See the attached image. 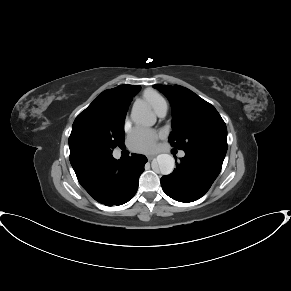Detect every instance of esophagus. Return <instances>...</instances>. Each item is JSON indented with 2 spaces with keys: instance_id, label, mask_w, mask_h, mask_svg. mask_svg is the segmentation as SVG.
<instances>
[{
  "instance_id": "esophagus-1",
  "label": "esophagus",
  "mask_w": 291,
  "mask_h": 291,
  "mask_svg": "<svg viewBox=\"0 0 291 291\" xmlns=\"http://www.w3.org/2000/svg\"><path fill=\"white\" fill-rule=\"evenodd\" d=\"M156 157V154H153V155H148L147 158L149 161H151L153 158Z\"/></svg>"
}]
</instances>
